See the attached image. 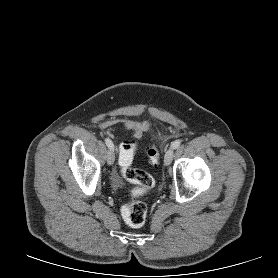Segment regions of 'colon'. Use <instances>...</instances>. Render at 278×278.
I'll list each match as a JSON object with an SVG mask.
<instances>
[{
  "label": "colon",
  "instance_id": "obj_1",
  "mask_svg": "<svg viewBox=\"0 0 278 278\" xmlns=\"http://www.w3.org/2000/svg\"><path fill=\"white\" fill-rule=\"evenodd\" d=\"M135 151V141L127 140L121 143L119 148V165L122 176L134 184L136 193H142L149 190L154 185L152 176L144 170L136 169L131 166ZM147 156L152 165H157L159 162V152L155 146H150L147 149ZM121 214L124 221L132 227L142 226L147 217V207L141 201H131L125 203L121 208Z\"/></svg>",
  "mask_w": 278,
  "mask_h": 278
}]
</instances>
